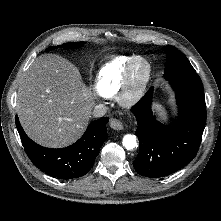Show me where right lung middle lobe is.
<instances>
[{"label":"right lung middle lobe","mask_w":221,"mask_h":221,"mask_svg":"<svg viewBox=\"0 0 221 221\" xmlns=\"http://www.w3.org/2000/svg\"><path fill=\"white\" fill-rule=\"evenodd\" d=\"M83 44H84V42H76V43H67V44H63V45H60V46H51V47L47 48L46 51L53 50L54 48H57V47L76 48V47L82 46Z\"/></svg>","instance_id":"1"}]
</instances>
